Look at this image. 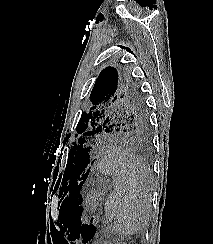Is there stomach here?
<instances>
[{
    "label": "stomach",
    "mask_w": 213,
    "mask_h": 244,
    "mask_svg": "<svg viewBox=\"0 0 213 244\" xmlns=\"http://www.w3.org/2000/svg\"><path fill=\"white\" fill-rule=\"evenodd\" d=\"M109 188L110 184L107 181H103L97 184L95 187H93L86 199L87 207L93 208L96 205H98V203H100L103 200Z\"/></svg>",
    "instance_id": "stomach-1"
}]
</instances>
